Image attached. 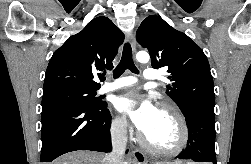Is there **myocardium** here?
I'll return each instance as SVG.
<instances>
[{
  "label": "myocardium",
  "instance_id": "myocardium-1",
  "mask_svg": "<svg viewBox=\"0 0 251 164\" xmlns=\"http://www.w3.org/2000/svg\"><path fill=\"white\" fill-rule=\"evenodd\" d=\"M159 110L169 114L175 121L178 129V138L174 145L170 147H157L152 145L145 134L142 135L140 141L143 147L158 155H176L180 153L187 145L189 139V129L185 117L181 111L173 104L163 102L159 105Z\"/></svg>",
  "mask_w": 251,
  "mask_h": 164
}]
</instances>
